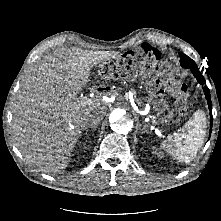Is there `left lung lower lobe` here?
<instances>
[{"label":"left lung lower lobe","instance_id":"obj_1","mask_svg":"<svg viewBox=\"0 0 221 221\" xmlns=\"http://www.w3.org/2000/svg\"><path fill=\"white\" fill-rule=\"evenodd\" d=\"M192 73L193 75L196 77V79L198 80V82L201 84V85H204L205 83V79L204 77L202 76V73L199 71L198 68H192ZM203 90H204V93H205V97L207 99V102H208V107H209V110H210V117H211V122H210V132H211V128H212V106H211V98H210V92H209V89L208 87L204 86L203 87Z\"/></svg>","mask_w":221,"mask_h":221}]
</instances>
